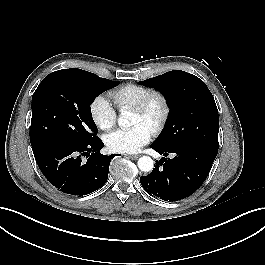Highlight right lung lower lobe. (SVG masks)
I'll use <instances>...</instances> for the list:
<instances>
[{
  "label": "right lung lower lobe",
  "mask_w": 265,
  "mask_h": 265,
  "mask_svg": "<svg viewBox=\"0 0 265 265\" xmlns=\"http://www.w3.org/2000/svg\"><path fill=\"white\" fill-rule=\"evenodd\" d=\"M97 138L83 144H54L34 148L36 162L47 180L60 191L86 195L101 188L108 179L113 155L100 154Z\"/></svg>",
  "instance_id": "98d812e1"
}]
</instances>
